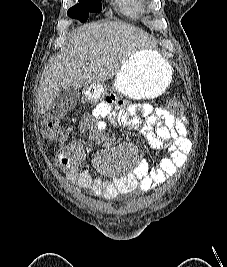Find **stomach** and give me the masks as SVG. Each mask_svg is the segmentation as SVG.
Listing matches in <instances>:
<instances>
[{"label":"stomach","instance_id":"stomach-1","mask_svg":"<svg viewBox=\"0 0 227 267\" xmlns=\"http://www.w3.org/2000/svg\"><path fill=\"white\" fill-rule=\"evenodd\" d=\"M172 80V67L156 50L141 49L133 53L115 76L114 90L127 99H151L162 94ZM103 85H88L86 97L95 101Z\"/></svg>","mask_w":227,"mask_h":267}]
</instances>
